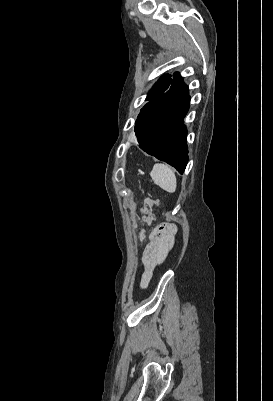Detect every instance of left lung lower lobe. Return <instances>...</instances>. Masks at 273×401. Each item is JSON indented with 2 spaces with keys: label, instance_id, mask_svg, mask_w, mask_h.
Segmentation results:
<instances>
[{
  "label": "left lung lower lobe",
  "instance_id": "obj_1",
  "mask_svg": "<svg viewBox=\"0 0 273 401\" xmlns=\"http://www.w3.org/2000/svg\"><path fill=\"white\" fill-rule=\"evenodd\" d=\"M169 88L141 109L135 122L136 144L183 173L188 161L187 129L183 123L190 97L178 73Z\"/></svg>",
  "mask_w": 273,
  "mask_h": 401
}]
</instances>
